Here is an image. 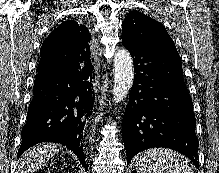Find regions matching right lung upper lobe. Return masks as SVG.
I'll return each instance as SVG.
<instances>
[{
	"label": "right lung upper lobe",
	"instance_id": "right-lung-upper-lobe-1",
	"mask_svg": "<svg viewBox=\"0 0 219 173\" xmlns=\"http://www.w3.org/2000/svg\"><path fill=\"white\" fill-rule=\"evenodd\" d=\"M91 34L88 29L73 20L60 24L45 39L40 48V61L54 59L57 62L67 60L69 54H77L90 62L88 41Z\"/></svg>",
	"mask_w": 219,
	"mask_h": 173
}]
</instances>
